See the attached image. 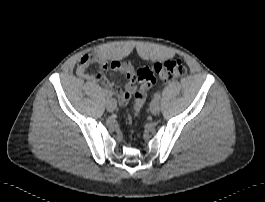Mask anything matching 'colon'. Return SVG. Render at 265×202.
Returning <instances> with one entry per match:
<instances>
[{"label": "colon", "mask_w": 265, "mask_h": 202, "mask_svg": "<svg viewBox=\"0 0 265 202\" xmlns=\"http://www.w3.org/2000/svg\"><path fill=\"white\" fill-rule=\"evenodd\" d=\"M187 73V67L180 59H169L164 62L155 63L153 66H145L137 70L136 78L139 89L134 93V103L131 112V121L138 115L147 91L157 82V78L163 82H172Z\"/></svg>", "instance_id": "obj_1"}]
</instances>
